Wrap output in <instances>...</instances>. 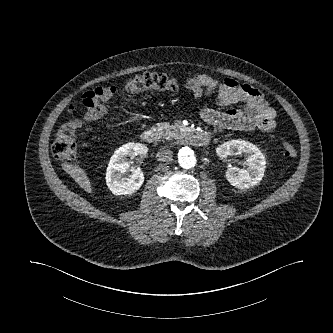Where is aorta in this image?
<instances>
[{
  "instance_id": "1",
  "label": "aorta",
  "mask_w": 333,
  "mask_h": 333,
  "mask_svg": "<svg viewBox=\"0 0 333 333\" xmlns=\"http://www.w3.org/2000/svg\"><path fill=\"white\" fill-rule=\"evenodd\" d=\"M178 163L184 169L195 167L197 160L194 151L189 147H182L178 152Z\"/></svg>"
}]
</instances>
